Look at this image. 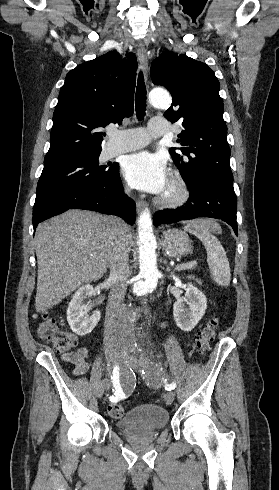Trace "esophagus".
I'll return each instance as SVG.
<instances>
[{"label": "esophagus", "instance_id": "1", "mask_svg": "<svg viewBox=\"0 0 279 490\" xmlns=\"http://www.w3.org/2000/svg\"><path fill=\"white\" fill-rule=\"evenodd\" d=\"M137 57H138L141 69L144 73L145 80L148 83V55H147V50L143 44H139L137 47ZM136 206H137V210L139 212L144 208L145 202L143 200H137Z\"/></svg>", "mask_w": 279, "mask_h": 490}]
</instances>
